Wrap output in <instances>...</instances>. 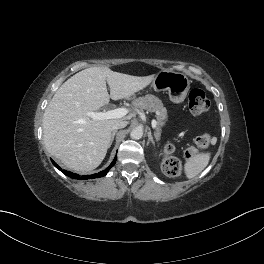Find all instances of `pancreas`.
<instances>
[{"label": "pancreas", "instance_id": "pancreas-1", "mask_svg": "<svg viewBox=\"0 0 264 264\" xmlns=\"http://www.w3.org/2000/svg\"><path fill=\"white\" fill-rule=\"evenodd\" d=\"M132 106L136 109H144L150 112L157 113L158 123L155 132V137L158 140L161 135V128L165 125V121L168 118L167 109L164 107L162 101L158 97L152 94H148L146 96L134 99L132 101Z\"/></svg>", "mask_w": 264, "mask_h": 264}]
</instances>
